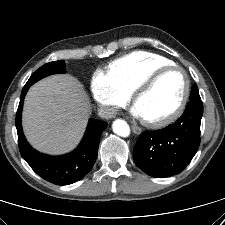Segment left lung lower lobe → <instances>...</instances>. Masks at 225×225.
<instances>
[{"label": "left lung lower lobe", "instance_id": "left-lung-lower-lobe-1", "mask_svg": "<svg viewBox=\"0 0 225 225\" xmlns=\"http://www.w3.org/2000/svg\"><path fill=\"white\" fill-rule=\"evenodd\" d=\"M202 114L201 98L192 99L175 123L160 130L143 132L133 150L136 165L157 178L182 172L199 147Z\"/></svg>", "mask_w": 225, "mask_h": 225}]
</instances>
